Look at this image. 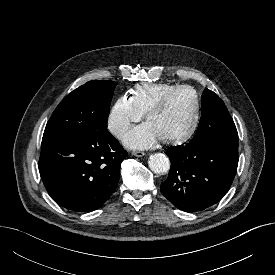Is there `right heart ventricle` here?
I'll use <instances>...</instances> for the list:
<instances>
[{"mask_svg": "<svg viewBox=\"0 0 275 275\" xmlns=\"http://www.w3.org/2000/svg\"><path fill=\"white\" fill-rule=\"evenodd\" d=\"M176 85L170 83H141L130 90V99L136 109L145 115L148 109L168 90Z\"/></svg>", "mask_w": 275, "mask_h": 275, "instance_id": "e07e8e85", "label": "right heart ventricle"}]
</instances>
